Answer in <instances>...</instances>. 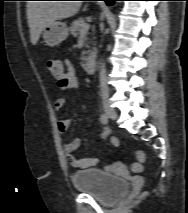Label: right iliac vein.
Listing matches in <instances>:
<instances>
[{"label": "right iliac vein", "mask_w": 188, "mask_h": 213, "mask_svg": "<svg viewBox=\"0 0 188 213\" xmlns=\"http://www.w3.org/2000/svg\"><path fill=\"white\" fill-rule=\"evenodd\" d=\"M104 110L106 112V114L113 120H116L118 115L117 112L109 105V104H105L104 105Z\"/></svg>", "instance_id": "right-iliac-vein-1"}]
</instances>
